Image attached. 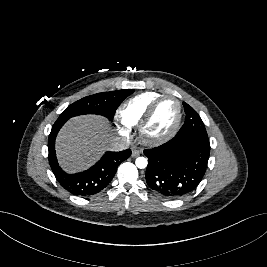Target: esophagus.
I'll return each instance as SVG.
<instances>
[{"label":"esophagus","instance_id":"esophagus-1","mask_svg":"<svg viewBox=\"0 0 267 267\" xmlns=\"http://www.w3.org/2000/svg\"><path fill=\"white\" fill-rule=\"evenodd\" d=\"M140 154H141V151L138 150V149H134V150L132 151V157H133V158L138 157Z\"/></svg>","mask_w":267,"mask_h":267}]
</instances>
